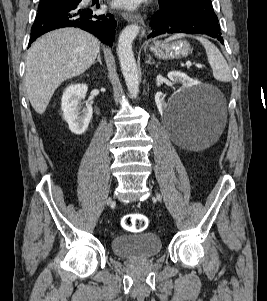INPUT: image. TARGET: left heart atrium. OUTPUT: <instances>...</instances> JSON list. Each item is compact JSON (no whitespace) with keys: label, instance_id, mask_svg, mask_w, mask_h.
I'll list each match as a JSON object with an SVG mask.
<instances>
[{"label":"left heart atrium","instance_id":"obj_1","mask_svg":"<svg viewBox=\"0 0 267 301\" xmlns=\"http://www.w3.org/2000/svg\"><path fill=\"white\" fill-rule=\"evenodd\" d=\"M119 5L127 8H135L140 0H117Z\"/></svg>","mask_w":267,"mask_h":301}]
</instances>
